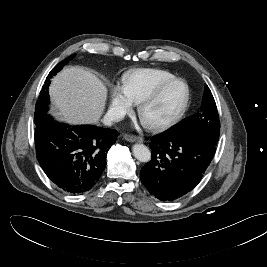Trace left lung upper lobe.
I'll list each match as a JSON object with an SVG mask.
<instances>
[{
    "mask_svg": "<svg viewBox=\"0 0 267 267\" xmlns=\"http://www.w3.org/2000/svg\"><path fill=\"white\" fill-rule=\"evenodd\" d=\"M175 133H198L212 144H217L220 134V121L213 95L205 86L201 110L173 127L170 131Z\"/></svg>",
    "mask_w": 267,
    "mask_h": 267,
    "instance_id": "left-lung-upper-lobe-1",
    "label": "left lung upper lobe"
}]
</instances>
